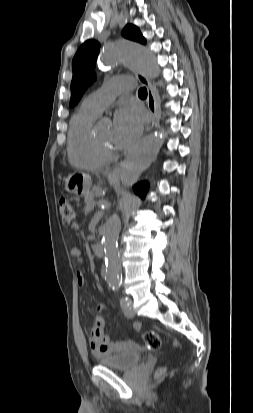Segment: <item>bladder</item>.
<instances>
[{"label":"bladder","mask_w":253,"mask_h":413,"mask_svg":"<svg viewBox=\"0 0 253 413\" xmlns=\"http://www.w3.org/2000/svg\"><path fill=\"white\" fill-rule=\"evenodd\" d=\"M143 359L142 352L135 347L101 357L98 363L117 370H129L137 366Z\"/></svg>","instance_id":"1"}]
</instances>
